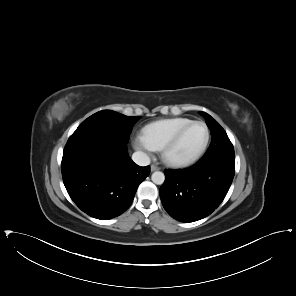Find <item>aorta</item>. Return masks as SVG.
<instances>
[{
    "label": "aorta",
    "instance_id": "1",
    "mask_svg": "<svg viewBox=\"0 0 296 296\" xmlns=\"http://www.w3.org/2000/svg\"><path fill=\"white\" fill-rule=\"evenodd\" d=\"M151 180L153 183H155L157 185H161L164 183L165 175H164V173H162L160 171H155L151 176Z\"/></svg>",
    "mask_w": 296,
    "mask_h": 296
}]
</instances>
